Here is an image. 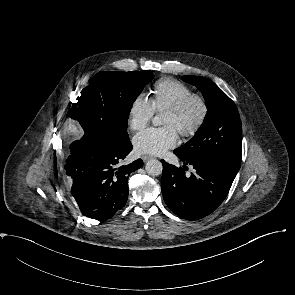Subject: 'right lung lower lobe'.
<instances>
[{
	"label": "right lung lower lobe",
	"instance_id": "right-lung-lower-lobe-1",
	"mask_svg": "<svg viewBox=\"0 0 295 295\" xmlns=\"http://www.w3.org/2000/svg\"><path fill=\"white\" fill-rule=\"evenodd\" d=\"M132 150L130 140L115 145L87 135L70 146L65 164L71 193L84 216L105 221L122 209L128 199V177L143 166L141 159L119 166Z\"/></svg>",
	"mask_w": 295,
	"mask_h": 295
}]
</instances>
